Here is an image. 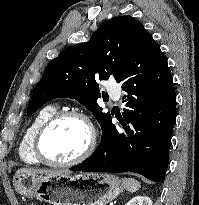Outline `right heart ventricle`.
<instances>
[{
    "label": "right heart ventricle",
    "mask_w": 199,
    "mask_h": 205,
    "mask_svg": "<svg viewBox=\"0 0 199 205\" xmlns=\"http://www.w3.org/2000/svg\"><path fill=\"white\" fill-rule=\"evenodd\" d=\"M59 106L57 104H48L42 107L38 113L34 116L33 120L27 126L20 144H19V156L21 160L28 165L39 164V160L33 153V140L38 129L56 112H58Z\"/></svg>",
    "instance_id": "e07e8e85"
}]
</instances>
